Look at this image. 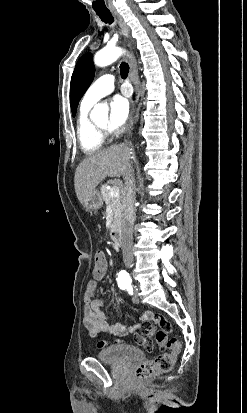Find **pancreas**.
<instances>
[{
    "mask_svg": "<svg viewBox=\"0 0 247 413\" xmlns=\"http://www.w3.org/2000/svg\"><path fill=\"white\" fill-rule=\"evenodd\" d=\"M107 184H101L100 190L102 194L103 200H105L106 204H110V207L113 211L114 219L112 229H115L117 225L121 223V198L122 196H110L108 188H106Z\"/></svg>",
    "mask_w": 247,
    "mask_h": 413,
    "instance_id": "cf45deb5",
    "label": "pancreas"
}]
</instances>
